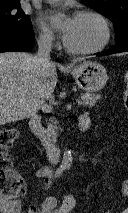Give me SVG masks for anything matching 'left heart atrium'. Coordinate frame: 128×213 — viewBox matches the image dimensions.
Wrapping results in <instances>:
<instances>
[{
  "label": "left heart atrium",
  "mask_w": 128,
  "mask_h": 213,
  "mask_svg": "<svg viewBox=\"0 0 128 213\" xmlns=\"http://www.w3.org/2000/svg\"><path fill=\"white\" fill-rule=\"evenodd\" d=\"M57 17H58L57 12H48L43 17L42 22L45 26L54 27ZM73 23H74V18H72L70 16L65 17L62 27H61V35L65 42L69 38Z\"/></svg>",
  "instance_id": "39dd6f15"
}]
</instances>
